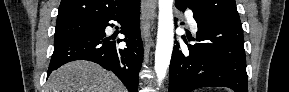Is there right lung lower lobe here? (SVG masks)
I'll return each mask as SVG.
<instances>
[{
  "mask_svg": "<svg viewBox=\"0 0 289 92\" xmlns=\"http://www.w3.org/2000/svg\"><path fill=\"white\" fill-rule=\"evenodd\" d=\"M139 16L138 0L126 11L99 21V27L95 32L54 45L47 75L70 61L89 60L113 71L129 92H137L138 73L143 60ZM110 20L121 23V33L126 36L125 39L115 42L106 37L105 28L110 25ZM121 41L126 42L125 48L117 46Z\"/></svg>",
  "mask_w": 289,
  "mask_h": 92,
  "instance_id": "obj_1",
  "label": "right lung lower lobe"
}]
</instances>
